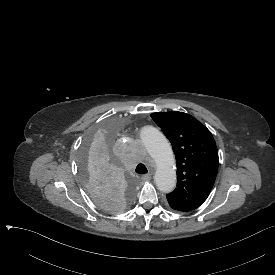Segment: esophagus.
I'll use <instances>...</instances> for the list:
<instances>
[{
  "label": "esophagus",
  "instance_id": "esophagus-1",
  "mask_svg": "<svg viewBox=\"0 0 275 275\" xmlns=\"http://www.w3.org/2000/svg\"><path fill=\"white\" fill-rule=\"evenodd\" d=\"M141 179H142L143 181H149V180H151V176H150L149 174H147V175H142V176H141Z\"/></svg>",
  "mask_w": 275,
  "mask_h": 275
}]
</instances>
